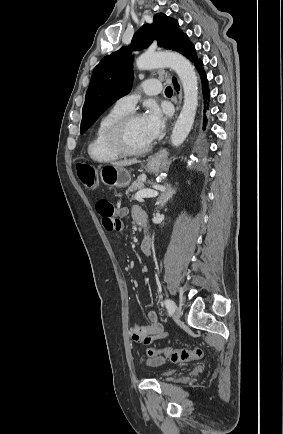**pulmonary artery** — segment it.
Wrapping results in <instances>:
<instances>
[{"label": "pulmonary artery", "instance_id": "1", "mask_svg": "<svg viewBox=\"0 0 283 434\" xmlns=\"http://www.w3.org/2000/svg\"><path fill=\"white\" fill-rule=\"evenodd\" d=\"M142 91L147 95H156L161 91V83L155 79L145 80L141 84ZM139 96L137 94H129L121 97L115 103V106L124 111L130 112L134 109Z\"/></svg>", "mask_w": 283, "mask_h": 434}]
</instances>
